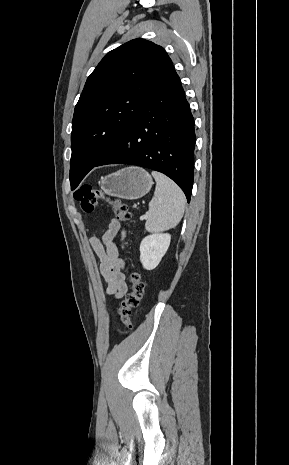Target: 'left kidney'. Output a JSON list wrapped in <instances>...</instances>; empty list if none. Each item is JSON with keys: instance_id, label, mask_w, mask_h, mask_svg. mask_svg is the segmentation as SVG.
<instances>
[{"instance_id": "1", "label": "left kidney", "mask_w": 289, "mask_h": 465, "mask_svg": "<svg viewBox=\"0 0 289 465\" xmlns=\"http://www.w3.org/2000/svg\"><path fill=\"white\" fill-rule=\"evenodd\" d=\"M170 234H152L142 239L140 244V261L146 270L155 269L170 245Z\"/></svg>"}]
</instances>
